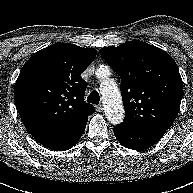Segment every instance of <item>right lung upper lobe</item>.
<instances>
[{"mask_svg":"<svg viewBox=\"0 0 193 193\" xmlns=\"http://www.w3.org/2000/svg\"><path fill=\"white\" fill-rule=\"evenodd\" d=\"M96 57L94 48L55 43L22 67L14 88L21 120L38 142L64 136L87 124L93 105L85 103L80 74Z\"/></svg>","mask_w":193,"mask_h":193,"instance_id":"obj_1","label":"right lung upper lobe"}]
</instances>
